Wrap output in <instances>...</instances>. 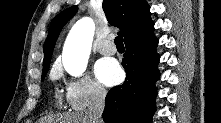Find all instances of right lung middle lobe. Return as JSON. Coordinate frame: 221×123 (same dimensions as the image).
I'll list each match as a JSON object with an SVG mask.
<instances>
[{
  "mask_svg": "<svg viewBox=\"0 0 221 123\" xmlns=\"http://www.w3.org/2000/svg\"><path fill=\"white\" fill-rule=\"evenodd\" d=\"M49 65L50 64H47L46 66H44V68H43V74H42V81L44 80V78H45V75H46V72L48 71V69H49Z\"/></svg>",
  "mask_w": 221,
  "mask_h": 123,
  "instance_id": "right-lung-middle-lobe-1",
  "label": "right lung middle lobe"
}]
</instances>
